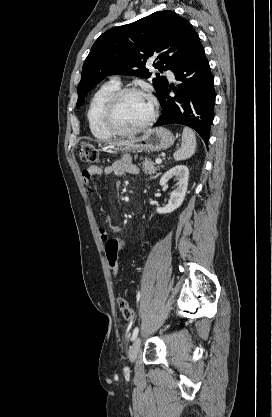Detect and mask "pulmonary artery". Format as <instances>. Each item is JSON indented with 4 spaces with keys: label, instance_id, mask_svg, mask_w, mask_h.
Returning <instances> with one entry per match:
<instances>
[{
    "label": "pulmonary artery",
    "instance_id": "obj_1",
    "mask_svg": "<svg viewBox=\"0 0 272 417\" xmlns=\"http://www.w3.org/2000/svg\"><path fill=\"white\" fill-rule=\"evenodd\" d=\"M168 77L173 80L174 79V73L172 71H167Z\"/></svg>",
    "mask_w": 272,
    "mask_h": 417
}]
</instances>
